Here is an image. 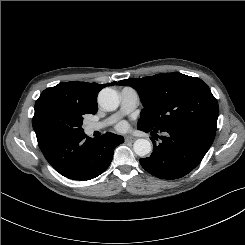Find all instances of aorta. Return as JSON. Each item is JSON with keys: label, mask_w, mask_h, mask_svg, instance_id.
Wrapping results in <instances>:
<instances>
[{"label": "aorta", "mask_w": 245, "mask_h": 245, "mask_svg": "<svg viewBox=\"0 0 245 245\" xmlns=\"http://www.w3.org/2000/svg\"><path fill=\"white\" fill-rule=\"evenodd\" d=\"M98 103L103 109L113 111L119 106L118 93L112 88H104L98 95ZM151 148V143L147 139H137L133 145L134 152L140 157L149 154Z\"/></svg>", "instance_id": "obj_1"}]
</instances>
